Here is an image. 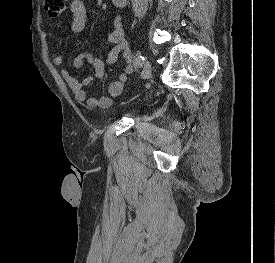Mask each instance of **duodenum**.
Segmentation results:
<instances>
[{
	"instance_id": "duodenum-1",
	"label": "duodenum",
	"mask_w": 275,
	"mask_h": 263,
	"mask_svg": "<svg viewBox=\"0 0 275 263\" xmlns=\"http://www.w3.org/2000/svg\"><path fill=\"white\" fill-rule=\"evenodd\" d=\"M113 5L116 7H124L128 0H111Z\"/></svg>"
}]
</instances>
